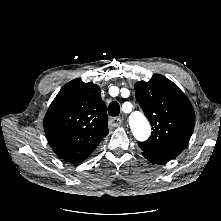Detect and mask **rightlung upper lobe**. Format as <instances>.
Segmentation results:
<instances>
[{"label":"right lung upper lobe","mask_w":221,"mask_h":221,"mask_svg":"<svg viewBox=\"0 0 221 221\" xmlns=\"http://www.w3.org/2000/svg\"><path fill=\"white\" fill-rule=\"evenodd\" d=\"M100 87L81 79L68 82L51 103L44 130L53 151L71 163L87 159L108 134Z\"/></svg>","instance_id":"1"}]
</instances>
